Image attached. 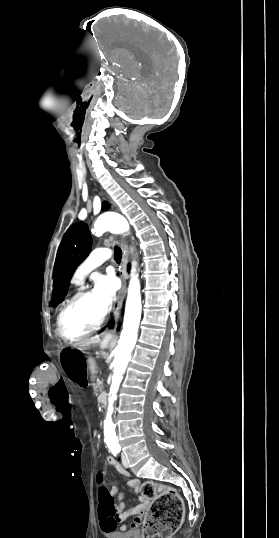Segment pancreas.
<instances>
[{
    "mask_svg": "<svg viewBox=\"0 0 279 538\" xmlns=\"http://www.w3.org/2000/svg\"><path fill=\"white\" fill-rule=\"evenodd\" d=\"M93 388H94V390H96V391L94 392V395H95L96 397H100V396L102 395V387H101V383H96V384H94Z\"/></svg>",
    "mask_w": 279,
    "mask_h": 538,
    "instance_id": "obj_1",
    "label": "pancreas"
}]
</instances>
